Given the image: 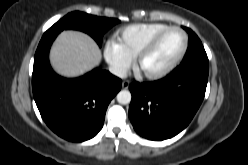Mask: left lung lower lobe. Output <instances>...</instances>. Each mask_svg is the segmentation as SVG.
<instances>
[{
	"label": "left lung lower lobe",
	"mask_w": 248,
	"mask_h": 165,
	"mask_svg": "<svg viewBox=\"0 0 248 165\" xmlns=\"http://www.w3.org/2000/svg\"><path fill=\"white\" fill-rule=\"evenodd\" d=\"M208 72L207 54H196L163 79L130 84L129 118L135 131L161 141L185 129L203 101Z\"/></svg>",
	"instance_id": "left-lung-lower-lobe-1"
}]
</instances>
